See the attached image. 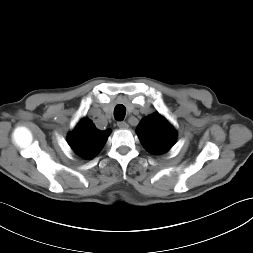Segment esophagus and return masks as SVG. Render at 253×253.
Returning <instances> with one entry per match:
<instances>
[{"label":"esophagus","mask_w":253,"mask_h":253,"mask_svg":"<svg viewBox=\"0 0 253 253\" xmlns=\"http://www.w3.org/2000/svg\"><path fill=\"white\" fill-rule=\"evenodd\" d=\"M118 127L121 129H127L128 128V124L124 121H120L117 123Z\"/></svg>","instance_id":"1"}]
</instances>
